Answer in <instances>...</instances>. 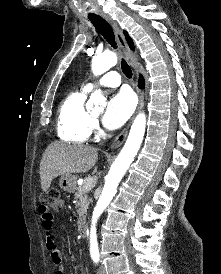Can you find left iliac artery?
Returning <instances> with one entry per match:
<instances>
[{
    "label": "left iliac artery",
    "mask_w": 221,
    "mask_h": 274,
    "mask_svg": "<svg viewBox=\"0 0 221 274\" xmlns=\"http://www.w3.org/2000/svg\"><path fill=\"white\" fill-rule=\"evenodd\" d=\"M92 259L97 264L99 262V255H93Z\"/></svg>",
    "instance_id": "obj_1"
}]
</instances>
